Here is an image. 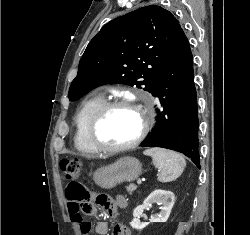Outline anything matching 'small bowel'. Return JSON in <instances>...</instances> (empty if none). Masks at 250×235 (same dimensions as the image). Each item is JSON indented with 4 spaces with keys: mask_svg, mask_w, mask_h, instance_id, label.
<instances>
[{
    "mask_svg": "<svg viewBox=\"0 0 250 235\" xmlns=\"http://www.w3.org/2000/svg\"><path fill=\"white\" fill-rule=\"evenodd\" d=\"M66 205L71 220L79 225L82 235H89L91 224L90 222L84 220V216L93 214L94 210L92 208H90L88 211L78 209V204L74 201H71L67 195ZM98 205L101 206L109 215L116 216L120 209L124 206V200L121 197L105 198L99 201ZM95 231L101 235L106 234L108 231L107 222H97L95 225ZM113 235H131V232L128 227L122 224H116L113 228Z\"/></svg>",
    "mask_w": 250,
    "mask_h": 235,
    "instance_id": "small-bowel-1",
    "label": "small bowel"
}]
</instances>
